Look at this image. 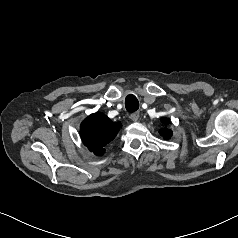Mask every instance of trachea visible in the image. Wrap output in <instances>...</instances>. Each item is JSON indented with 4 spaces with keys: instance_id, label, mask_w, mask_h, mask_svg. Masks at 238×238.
<instances>
[{
    "instance_id": "3493384b",
    "label": "trachea",
    "mask_w": 238,
    "mask_h": 238,
    "mask_svg": "<svg viewBox=\"0 0 238 238\" xmlns=\"http://www.w3.org/2000/svg\"><path fill=\"white\" fill-rule=\"evenodd\" d=\"M125 108L128 112L133 113L138 110L139 108V102L137 98L130 94L125 99Z\"/></svg>"
}]
</instances>
